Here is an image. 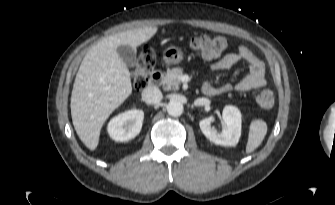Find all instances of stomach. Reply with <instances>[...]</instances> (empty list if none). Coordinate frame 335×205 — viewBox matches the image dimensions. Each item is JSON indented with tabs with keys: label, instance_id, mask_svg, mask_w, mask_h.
<instances>
[{
	"label": "stomach",
	"instance_id": "0dacf381",
	"mask_svg": "<svg viewBox=\"0 0 335 205\" xmlns=\"http://www.w3.org/2000/svg\"><path fill=\"white\" fill-rule=\"evenodd\" d=\"M183 57V52L179 47L170 46L163 51V60L169 65L179 64Z\"/></svg>",
	"mask_w": 335,
	"mask_h": 205
}]
</instances>
